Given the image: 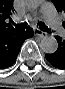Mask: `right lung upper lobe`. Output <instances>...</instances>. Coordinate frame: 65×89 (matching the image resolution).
I'll return each instance as SVG.
<instances>
[{
	"label": "right lung upper lobe",
	"instance_id": "cb5924a9",
	"mask_svg": "<svg viewBox=\"0 0 65 89\" xmlns=\"http://www.w3.org/2000/svg\"><path fill=\"white\" fill-rule=\"evenodd\" d=\"M13 0H0V32L14 29L8 20L11 21Z\"/></svg>",
	"mask_w": 65,
	"mask_h": 89
}]
</instances>
